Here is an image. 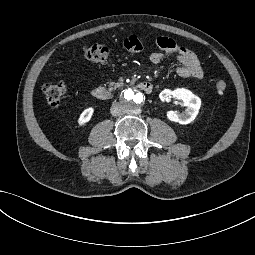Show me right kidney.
Segmentation results:
<instances>
[{"instance_id": "right-kidney-1", "label": "right kidney", "mask_w": 255, "mask_h": 255, "mask_svg": "<svg viewBox=\"0 0 255 255\" xmlns=\"http://www.w3.org/2000/svg\"><path fill=\"white\" fill-rule=\"evenodd\" d=\"M93 112V108H88L84 110L78 119L79 125H84L85 123H87L91 119Z\"/></svg>"}]
</instances>
